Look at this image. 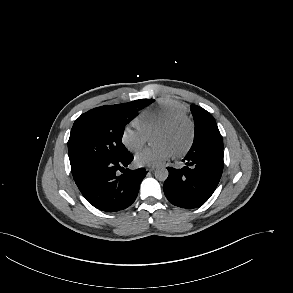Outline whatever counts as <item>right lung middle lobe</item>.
Wrapping results in <instances>:
<instances>
[{
	"instance_id": "right-lung-middle-lobe-1",
	"label": "right lung middle lobe",
	"mask_w": 293,
	"mask_h": 293,
	"mask_svg": "<svg viewBox=\"0 0 293 293\" xmlns=\"http://www.w3.org/2000/svg\"><path fill=\"white\" fill-rule=\"evenodd\" d=\"M146 100L94 108L74 122L68 141L73 177L98 162L129 152L122 143L126 119L136 103ZM147 105L142 103L140 108Z\"/></svg>"
}]
</instances>
